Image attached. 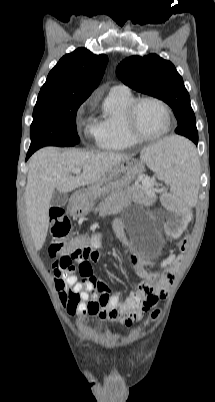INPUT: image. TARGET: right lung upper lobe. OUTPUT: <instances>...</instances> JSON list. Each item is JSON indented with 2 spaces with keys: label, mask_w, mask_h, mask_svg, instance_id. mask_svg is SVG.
Wrapping results in <instances>:
<instances>
[{
  "label": "right lung upper lobe",
  "mask_w": 215,
  "mask_h": 402,
  "mask_svg": "<svg viewBox=\"0 0 215 402\" xmlns=\"http://www.w3.org/2000/svg\"><path fill=\"white\" fill-rule=\"evenodd\" d=\"M107 62L104 54L78 48L63 56L50 71L39 96L88 98L98 86Z\"/></svg>",
  "instance_id": "right-lung-upper-lobe-1"
}]
</instances>
